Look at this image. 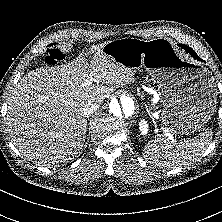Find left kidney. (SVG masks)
Here are the masks:
<instances>
[{
    "label": "left kidney",
    "instance_id": "1",
    "mask_svg": "<svg viewBox=\"0 0 222 222\" xmlns=\"http://www.w3.org/2000/svg\"><path fill=\"white\" fill-rule=\"evenodd\" d=\"M139 129L143 135H146L148 132V124L145 120H141L139 123Z\"/></svg>",
    "mask_w": 222,
    "mask_h": 222
}]
</instances>
